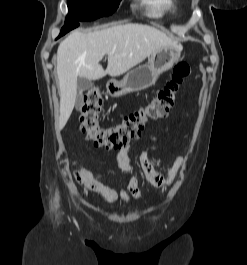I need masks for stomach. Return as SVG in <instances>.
<instances>
[{"mask_svg":"<svg viewBox=\"0 0 247 265\" xmlns=\"http://www.w3.org/2000/svg\"><path fill=\"white\" fill-rule=\"evenodd\" d=\"M181 52L180 46H164L155 50L147 64L132 69L120 81L115 79L108 81L106 84L108 94L118 98L151 87L163 72L178 63Z\"/></svg>","mask_w":247,"mask_h":265,"instance_id":"obj_1","label":"stomach"}]
</instances>
